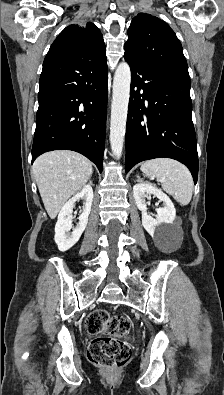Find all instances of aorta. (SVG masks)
<instances>
[{"label":"aorta","mask_w":224,"mask_h":395,"mask_svg":"<svg viewBox=\"0 0 224 395\" xmlns=\"http://www.w3.org/2000/svg\"><path fill=\"white\" fill-rule=\"evenodd\" d=\"M131 71L126 62H121L114 74L110 121V145L113 155L119 159L126 131L130 98Z\"/></svg>","instance_id":"762f6f07"}]
</instances>
